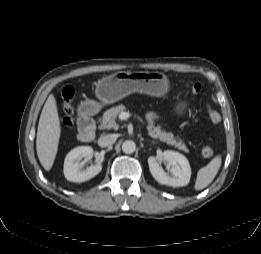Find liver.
I'll use <instances>...</instances> for the list:
<instances>
[{
    "label": "liver",
    "instance_id": "1",
    "mask_svg": "<svg viewBox=\"0 0 261 254\" xmlns=\"http://www.w3.org/2000/svg\"><path fill=\"white\" fill-rule=\"evenodd\" d=\"M61 136V124L54 95H49L42 109L36 137L39 161L46 171L51 170Z\"/></svg>",
    "mask_w": 261,
    "mask_h": 254
}]
</instances>
